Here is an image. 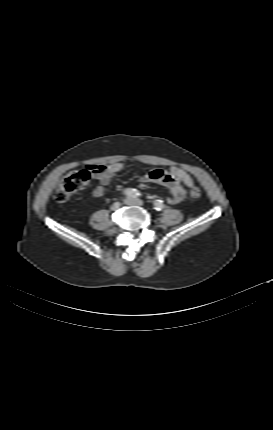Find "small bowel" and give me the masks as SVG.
Wrapping results in <instances>:
<instances>
[{
	"label": "small bowel",
	"mask_w": 273,
	"mask_h": 430,
	"mask_svg": "<svg viewBox=\"0 0 273 430\" xmlns=\"http://www.w3.org/2000/svg\"><path fill=\"white\" fill-rule=\"evenodd\" d=\"M127 164L125 162H116L110 165L90 164L85 167V172L92 175L99 182V185L93 190L94 197H102L109 185L111 178L118 172L122 171ZM141 182H155L166 186L170 190V196L167 198L168 204L180 203L186 195L185 187L192 188L194 180L190 174L179 167H173L169 170L157 168L148 172L141 177Z\"/></svg>",
	"instance_id": "small-bowel-1"
}]
</instances>
